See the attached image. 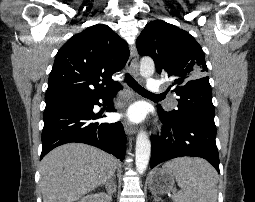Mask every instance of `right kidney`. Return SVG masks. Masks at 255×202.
<instances>
[{
    "mask_svg": "<svg viewBox=\"0 0 255 202\" xmlns=\"http://www.w3.org/2000/svg\"><path fill=\"white\" fill-rule=\"evenodd\" d=\"M78 202H111V196H108L105 193L91 194L83 197Z\"/></svg>",
    "mask_w": 255,
    "mask_h": 202,
    "instance_id": "ca27d5eb",
    "label": "right kidney"
}]
</instances>
